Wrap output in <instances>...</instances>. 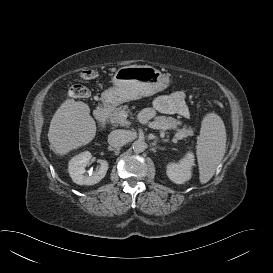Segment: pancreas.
<instances>
[{
	"label": "pancreas",
	"mask_w": 273,
	"mask_h": 273,
	"mask_svg": "<svg viewBox=\"0 0 273 273\" xmlns=\"http://www.w3.org/2000/svg\"><path fill=\"white\" fill-rule=\"evenodd\" d=\"M130 109L127 105L119 106L109 116V120L113 126H128L130 122L123 114L128 115ZM180 122L177 119L166 116H158L154 118V121L150 122L153 129H160L163 133L167 129H176ZM193 135V130L187 126L177 129L176 137L181 139L187 136Z\"/></svg>",
	"instance_id": "1"
}]
</instances>
